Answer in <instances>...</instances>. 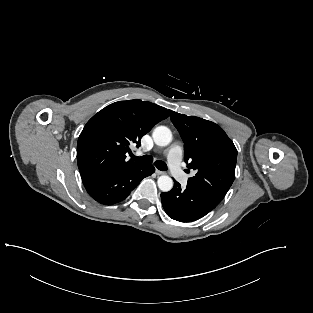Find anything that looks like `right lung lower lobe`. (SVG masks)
I'll return each instance as SVG.
<instances>
[{"label": "right lung lower lobe", "mask_w": 313, "mask_h": 313, "mask_svg": "<svg viewBox=\"0 0 313 313\" xmlns=\"http://www.w3.org/2000/svg\"><path fill=\"white\" fill-rule=\"evenodd\" d=\"M152 165L82 179L88 194L97 202L112 205L124 200L140 181L154 173Z\"/></svg>", "instance_id": "right-lung-lower-lobe-1"}]
</instances>
